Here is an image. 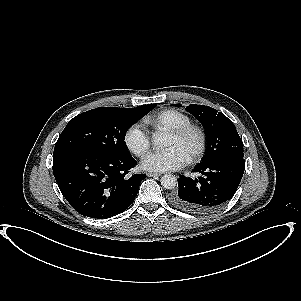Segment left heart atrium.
I'll return each mask as SVG.
<instances>
[{"instance_id":"1","label":"left heart atrium","mask_w":301,"mask_h":301,"mask_svg":"<svg viewBox=\"0 0 301 301\" xmlns=\"http://www.w3.org/2000/svg\"><path fill=\"white\" fill-rule=\"evenodd\" d=\"M185 158L172 149H165L148 154L143 161L146 170L167 172L181 168Z\"/></svg>"}]
</instances>
